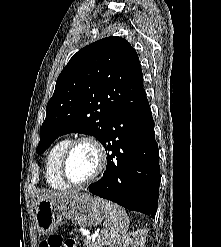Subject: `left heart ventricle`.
<instances>
[{
	"mask_svg": "<svg viewBox=\"0 0 221 247\" xmlns=\"http://www.w3.org/2000/svg\"><path fill=\"white\" fill-rule=\"evenodd\" d=\"M97 168V154L89 144H80L73 150L67 166L69 177L74 182L89 178Z\"/></svg>",
	"mask_w": 221,
	"mask_h": 247,
	"instance_id": "b2bd125f",
	"label": "left heart ventricle"
}]
</instances>
